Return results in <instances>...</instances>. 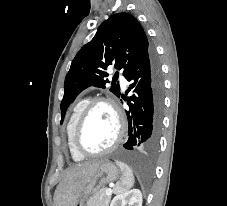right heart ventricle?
<instances>
[{
  "instance_id": "obj_1",
  "label": "right heart ventricle",
  "mask_w": 227,
  "mask_h": 206,
  "mask_svg": "<svg viewBox=\"0 0 227 206\" xmlns=\"http://www.w3.org/2000/svg\"><path fill=\"white\" fill-rule=\"evenodd\" d=\"M89 101L90 100L87 97L78 100L73 106L66 124L67 146L72 159L75 161L83 160L84 156L79 154L73 147V143H72L73 131L82 110L89 103Z\"/></svg>"
}]
</instances>
